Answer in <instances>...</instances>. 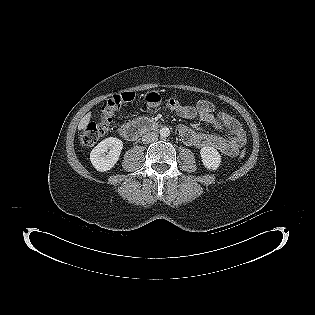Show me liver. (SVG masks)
<instances>
[{
  "instance_id": "liver-1",
  "label": "liver",
  "mask_w": 315,
  "mask_h": 315,
  "mask_svg": "<svg viewBox=\"0 0 315 315\" xmlns=\"http://www.w3.org/2000/svg\"><path fill=\"white\" fill-rule=\"evenodd\" d=\"M91 112L87 113L79 122L78 129L83 130L87 127L90 122Z\"/></svg>"
}]
</instances>
